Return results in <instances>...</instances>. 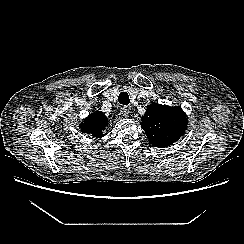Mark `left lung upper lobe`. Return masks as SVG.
I'll use <instances>...</instances> for the list:
<instances>
[{
    "label": "left lung upper lobe",
    "instance_id": "5c2ea615",
    "mask_svg": "<svg viewBox=\"0 0 244 244\" xmlns=\"http://www.w3.org/2000/svg\"><path fill=\"white\" fill-rule=\"evenodd\" d=\"M142 128L154 147H168L183 134L187 125L181 107L152 103L142 117Z\"/></svg>",
    "mask_w": 244,
    "mask_h": 244
}]
</instances>
